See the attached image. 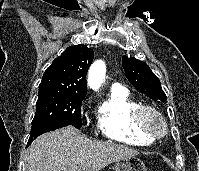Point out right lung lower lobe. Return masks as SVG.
Listing matches in <instances>:
<instances>
[{"label":"right lung lower lobe","mask_w":199,"mask_h":171,"mask_svg":"<svg viewBox=\"0 0 199 171\" xmlns=\"http://www.w3.org/2000/svg\"><path fill=\"white\" fill-rule=\"evenodd\" d=\"M68 123L62 121H48L40 122L31 127L30 137L27 143V147L32 143V141L43 133L56 130L68 126Z\"/></svg>","instance_id":"98d812e1"}]
</instances>
